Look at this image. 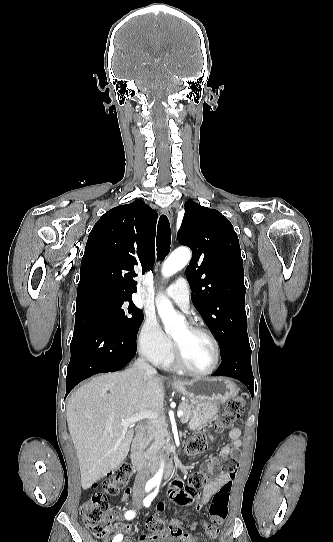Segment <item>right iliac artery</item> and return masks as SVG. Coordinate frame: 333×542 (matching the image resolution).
Returning a JSON list of instances; mask_svg holds the SVG:
<instances>
[{
  "label": "right iliac artery",
  "instance_id": "right-iliac-artery-1",
  "mask_svg": "<svg viewBox=\"0 0 333 542\" xmlns=\"http://www.w3.org/2000/svg\"><path fill=\"white\" fill-rule=\"evenodd\" d=\"M154 486H155V483H149V484H147V485H146V491H147V492L150 491ZM149 506H150V505H149ZM149 506H148V507H149ZM134 516H135V512H134V511L129 510V511H127V512L125 513V518H126V519H132V518H134ZM122 539H123V535L119 534V535H117V536L114 538L113 542H120Z\"/></svg>",
  "mask_w": 333,
  "mask_h": 542
}]
</instances>
